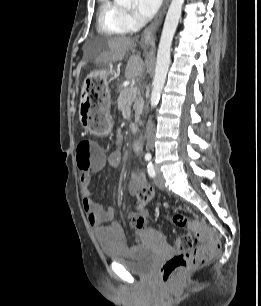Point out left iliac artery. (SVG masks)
I'll use <instances>...</instances> for the list:
<instances>
[{
    "label": "left iliac artery",
    "instance_id": "left-iliac-artery-1",
    "mask_svg": "<svg viewBox=\"0 0 261 306\" xmlns=\"http://www.w3.org/2000/svg\"><path fill=\"white\" fill-rule=\"evenodd\" d=\"M147 170H148V174L150 177H155V170H154V166L152 164V162H150L148 165H147Z\"/></svg>",
    "mask_w": 261,
    "mask_h": 306
}]
</instances>
